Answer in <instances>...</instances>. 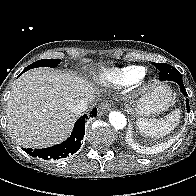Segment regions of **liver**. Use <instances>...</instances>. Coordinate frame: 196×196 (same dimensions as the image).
<instances>
[{"instance_id": "6515ba94", "label": "liver", "mask_w": 196, "mask_h": 196, "mask_svg": "<svg viewBox=\"0 0 196 196\" xmlns=\"http://www.w3.org/2000/svg\"><path fill=\"white\" fill-rule=\"evenodd\" d=\"M94 88L72 73L35 68L19 77L7 101V127L26 148H45L63 141L78 115L71 111L76 99L91 103Z\"/></svg>"}]
</instances>
